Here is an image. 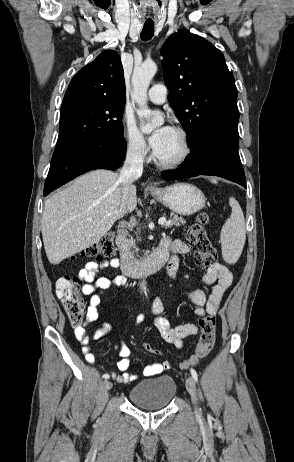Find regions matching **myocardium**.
<instances>
[{
  "label": "myocardium",
  "mask_w": 294,
  "mask_h": 462,
  "mask_svg": "<svg viewBox=\"0 0 294 462\" xmlns=\"http://www.w3.org/2000/svg\"><path fill=\"white\" fill-rule=\"evenodd\" d=\"M173 130L179 135L181 139L183 146L182 153L177 158L172 160H162L157 156L156 153L154 154L156 164L166 169L177 168L183 165L189 159L192 152V145L187 131L181 127H174Z\"/></svg>",
  "instance_id": "1"
}]
</instances>
